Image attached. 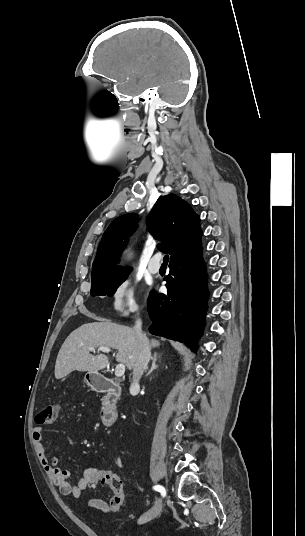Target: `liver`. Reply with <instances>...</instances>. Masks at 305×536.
<instances>
[{"label": "liver", "mask_w": 305, "mask_h": 536, "mask_svg": "<svg viewBox=\"0 0 305 536\" xmlns=\"http://www.w3.org/2000/svg\"><path fill=\"white\" fill-rule=\"evenodd\" d=\"M98 322L83 324L66 338L59 350L55 364V378L61 380L71 372H98L106 368L109 358L105 354L93 356L88 348H113L118 350L116 362L125 364L128 370L135 368L136 360L140 354L142 340L136 330L112 324L104 318H95ZM152 348L160 346L157 340H151Z\"/></svg>", "instance_id": "liver-1"}]
</instances>
